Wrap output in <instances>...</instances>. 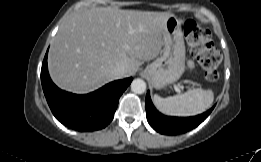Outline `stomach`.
<instances>
[{"label": "stomach", "instance_id": "stomach-1", "mask_svg": "<svg viewBox=\"0 0 261 162\" xmlns=\"http://www.w3.org/2000/svg\"><path fill=\"white\" fill-rule=\"evenodd\" d=\"M181 25L182 21L174 15L167 19L163 33V50L143 72L156 89L176 82L185 71L186 50Z\"/></svg>", "mask_w": 261, "mask_h": 162}]
</instances>
